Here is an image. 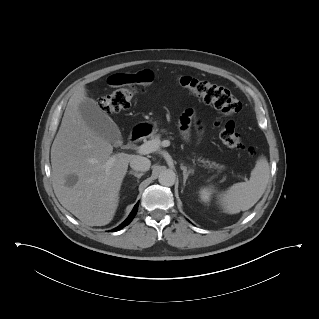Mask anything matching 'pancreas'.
Wrapping results in <instances>:
<instances>
[{
    "mask_svg": "<svg viewBox=\"0 0 319 319\" xmlns=\"http://www.w3.org/2000/svg\"><path fill=\"white\" fill-rule=\"evenodd\" d=\"M166 131L163 129L161 133H165ZM151 140H160L161 134L156 133V131L152 132L149 136ZM198 161L203 164L205 168H221V166L215 162H211L209 160L199 158Z\"/></svg>",
    "mask_w": 319,
    "mask_h": 319,
    "instance_id": "obj_1",
    "label": "pancreas"
}]
</instances>
